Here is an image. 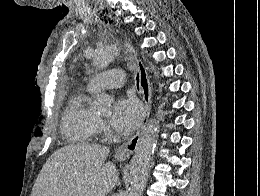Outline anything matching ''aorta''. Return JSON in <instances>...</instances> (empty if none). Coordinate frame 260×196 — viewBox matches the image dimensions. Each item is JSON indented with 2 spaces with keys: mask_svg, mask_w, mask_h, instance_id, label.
<instances>
[{
  "mask_svg": "<svg viewBox=\"0 0 260 196\" xmlns=\"http://www.w3.org/2000/svg\"><path fill=\"white\" fill-rule=\"evenodd\" d=\"M119 48L116 45H110L98 48L95 51L93 65L98 70L106 69L109 64L116 58ZM150 69L154 72L156 78H159V72L156 71L154 65L150 62ZM159 92L163 84L158 82ZM160 98V97H159ZM98 107L102 110H108L111 99L106 94L98 96ZM159 134V122L152 120L148 123L147 128L141 138L139 146L130 162L129 182L130 186L127 190V196H142L150 168L152 166L153 154L157 144Z\"/></svg>",
  "mask_w": 260,
  "mask_h": 196,
  "instance_id": "aorta-1",
  "label": "aorta"
}]
</instances>
